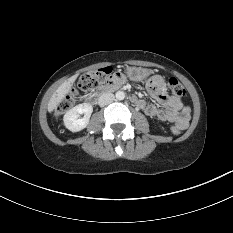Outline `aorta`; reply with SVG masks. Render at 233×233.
Here are the masks:
<instances>
[{
	"label": "aorta",
	"instance_id": "762f6f07",
	"mask_svg": "<svg viewBox=\"0 0 233 233\" xmlns=\"http://www.w3.org/2000/svg\"><path fill=\"white\" fill-rule=\"evenodd\" d=\"M115 96L117 100H123L125 98V93L123 91H117Z\"/></svg>",
	"mask_w": 233,
	"mask_h": 233
}]
</instances>
